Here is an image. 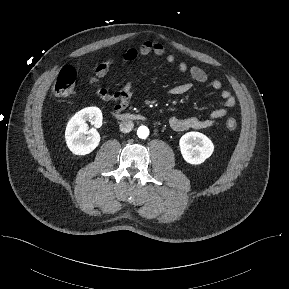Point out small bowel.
<instances>
[{
	"instance_id": "small-bowel-1",
	"label": "small bowel",
	"mask_w": 289,
	"mask_h": 289,
	"mask_svg": "<svg viewBox=\"0 0 289 289\" xmlns=\"http://www.w3.org/2000/svg\"><path fill=\"white\" fill-rule=\"evenodd\" d=\"M164 56L165 61L169 64L175 62V57L172 54H166L165 47L155 41H144L138 48L126 49L122 57L125 61H133L138 56ZM115 59L110 58L96 66L93 76L89 79V86L95 94L104 101L115 102L114 110H123L130 102L132 93L129 85H125L123 89L110 92L106 88L98 85V81L104 78L114 65ZM178 70L185 74H189L191 80L175 85L168 90L172 96H180L188 93L196 84H205L208 82L207 73L200 67L188 65L185 62L178 63ZM210 86L219 92L224 101L225 108H218L212 111L207 117H192V116H175L169 120V125L176 131H184L189 129H205L213 126L217 120L225 117L228 113L227 108H232L236 104L234 96L230 91L223 89L220 80H212Z\"/></svg>"
}]
</instances>
